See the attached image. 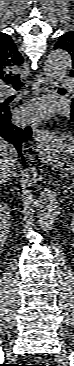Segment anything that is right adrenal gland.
Here are the masks:
<instances>
[{"mask_svg":"<svg viewBox=\"0 0 74 366\" xmlns=\"http://www.w3.org/2000/svg\"><path fill=\"white\" fill-rule=\"evenodd\" d=\"M11 177H17V173H14V174H13V175H11L10 177H8V178L6 179V182L11 181Z\"/></svg>","mask_w":74,"mask_h":366,"instance_id":"2a0ac1e0","label":"right adrenal gland"}]
</instances>
